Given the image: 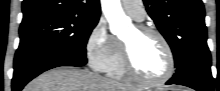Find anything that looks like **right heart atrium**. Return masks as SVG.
<instances>
[{"mask_svg":"<svg viewBox=\"0 0 220 91\" xmlns=\"http://www.w3.org/2000/svg\"><path fill=\"white\" fill-rule=\"evenodd\" d=\"M117 43L109 34L104 20L100 19L85 40V55L90 67L106 72L117 54Z\"/></svg>","mask_w":220,"mask_h":91,"instance_id":"1","label":"right heart atrium"}]
</instances>
